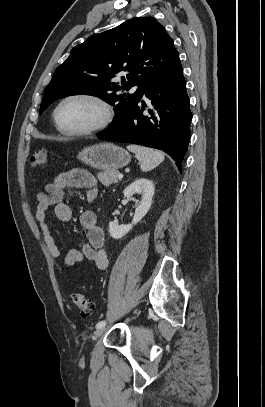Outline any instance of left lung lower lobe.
I'll list each match as a JSON object with an SVG mask.
<instances>
[{
	"instance_id": "obj_1",
	"label": "left lung lower lobe",
	"mask_w": 265,
	"mask_h": 407,
	"mask_svg": "<svg viewBox=\"0 0 265 407\" xmlns=\"http://www.w3.org/2000/svg\"><path fill=\"white\" fill-rule=\"evenodd\" d=\"M145 96L158 110L159 119L151 110H148L151 115L145 116L143 111L147 106L142 102L123 122L97 137L163 150L182 171V161L191 137L192 113L181 64L168 75L150 83Z\"/></svg>"
}]
</instances>
